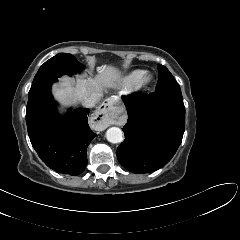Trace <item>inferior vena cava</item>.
I'll list each match as a JSON object with an SVG mask.
<instances>
[{
	"label": "inferior vena cava",
	"instance_id": "inferior-vena-cava-1",
	"mask_svg": "<svg viewBox=\"0 0 240 240\" xmlns=\"http://www.w3.org/2000/svg\"><path fill=\"white\" fill-rule=\"evenodd\" d=\"M101 97H102L101 93H93L91 96H89L88 98H85L82 101V105L86 108H92L97 104V102L101 99Z\"/></svg>",
	"mask_w": 240,
	"mask_h": 240
}]
</instances>
